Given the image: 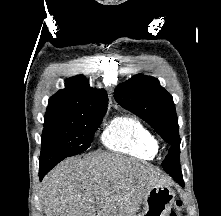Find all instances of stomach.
<instances>
[{
	"mask_svg": "<svg viewBox=\"0 0 221 216\" xmlns=\"http://www.w3.org/2000/svg\"><path fill=\"white\" fill-rule=\"evenodd\" d=\"M174 200L175 193L169 186H154L143 199V211L135 216H169Z\"/></svg>",
	"mask_w": 221,
	"mask_h": 216,
	"instance_id": "obj_1",
	"label": "stomach"
}]
</instances>
